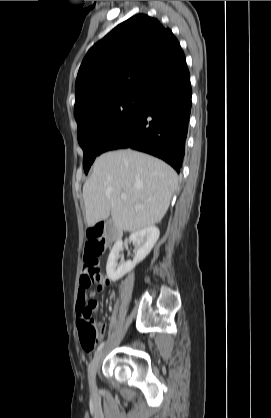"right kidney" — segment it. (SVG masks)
<instances>
[{
	"label": "right kidney",
	"mask_w": 271,
	"mask_h": 418,
	"mask_svg": "<svg viewBox=\"0 0 271 418\" xmlns=\"http://www.w3.org/2000/svg\"><path fill=\"white\" fill-rule=\"evenodd\" d=\"M160 231L156 226H149L141 230L133 232L129 239L137 247V253L132 261L117 263L120 252L123 250V242L118 240L115 242L106 265L107 276L112 281L121 279L125 274L130 272L139 262L143 261L150 253L157 240Z\"/></svg>",
	"instance_id": "1"
}]
</instances>
